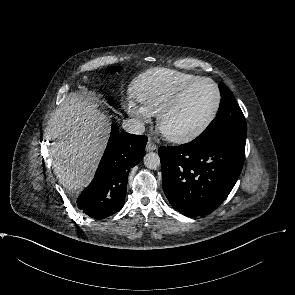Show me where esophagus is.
Masks as SVG:
<instances>
[{
  "mask_svg": "<svg viewBox=\"0 0 295 295\" xmlns=\"http://www.w3.org/2000/svg\"><path fill=\"white\" fill-rule=\"evenodd\" d=\"M157 149V145L154 144L152 141H148L146 144V151L147 152H151V151H155Z\"/></svg>",
  "mask_w": 295,
  "mask_h": 295,
  "instance_id": "34e87169",
  "label": "esophagus"
}]
</instances>
